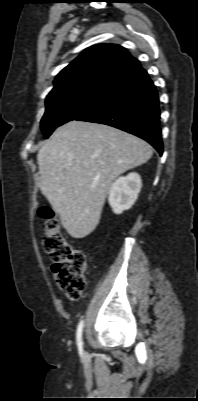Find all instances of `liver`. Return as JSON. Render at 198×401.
Masks as SVG:
<instances>
[{
	"instance_id": "liver-1",
	"label": "liver",
	"mask_w": 198,
	"mask_h": 401,
	"mask_svg": "<svg viewBox=\"0 0 198 401\" xmlns=\"http://www.w3.org/2000/svg\"><path fill=\"white\" fill-rule=\"evenodd\" d=\"M152 153L132 134L73 120L57 128L38 151L39 188L67 233L83 238L98 225L115 178L146 163Z\"/></svg>"
}]
</instances>
